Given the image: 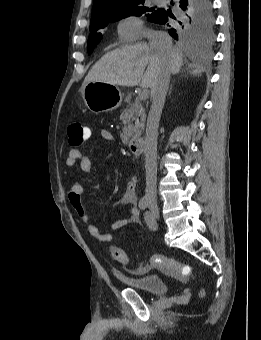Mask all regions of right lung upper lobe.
<instances>
[{"mask_svg": "<svg viewBox=\"0 0 261 340\" xmlns=\"http://www.w3.org/2000/svg\"><path fill=\"white\" fill-rule=\"evenodd\" d=\"M143 0H94L91 22L116 15L123 8Z\"/></svg>", "mask_w": 261, "mask_h": 340, "instance_id": "1", "label": "right lung upper lobe"}]
</instances>
